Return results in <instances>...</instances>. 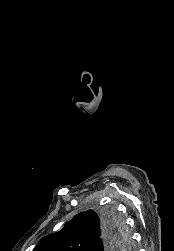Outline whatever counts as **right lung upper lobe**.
Listing matches in <instances>:
<instances>
[{
	"mask_svg": "<svg viewBox=\"0 0 174 251\" xmlns=\"http://www.w3.org/2000/svg\"><path fill=\"white\" fill-rule=\"evenodd\" d=\"M102 222L103 217L93 210L79 213L62 230L43 237L34 251H95L102 235ZM123 243L124 237L119 232L112 249H122Z\"/></svg>",
	"mask_w": 174,
	"mask_h": 251,
	"instance_id": "1",
	"label": "right lung upper lobe"
}]
</instances>
